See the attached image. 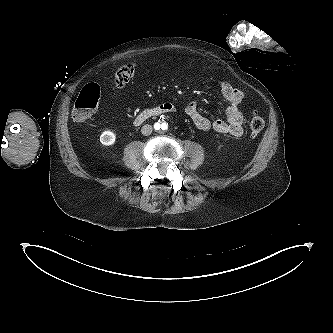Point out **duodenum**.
Returning <instances> with one entry per match:
<instances>
[{
	"mask_svg": "<svg viewBox=\"0 0 333 333\" xmlns=\"http://www.w3.org/2000/svg\"><path fill=\"white\" fill-rule=\"evenodd\" d=\"M174 111H175V106L172 103H163L154 108H148V109H145L142 112H140L134 118V124L140 125L152 117L159 116V115L165 114V113L174 112Z\"/></svg>",
	"mask_w": 333,
	"mask_h": 333,
	"instance_id": "obj_1",
	"label": "duodenum"
}]
</instances>
